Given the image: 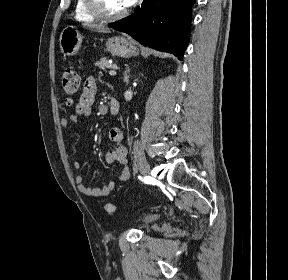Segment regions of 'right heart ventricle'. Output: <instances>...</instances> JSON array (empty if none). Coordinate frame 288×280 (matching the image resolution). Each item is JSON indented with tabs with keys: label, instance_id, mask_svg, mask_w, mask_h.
Segmentation results:
<instances>
[{
	"label": "right heart ventricle",
	"instance_id": "1",
	"mask_svg": "<svg viewBox=\"0 0 288 280\" xmlns=\"http://www.w3.org/2000/svg\"><path fill=\"white\" fill-rule=\"evenodd\" d=\"M74 16L76 20L81 22H95L97 20L87 9L85 0H76L74 6Z\"/></svg>",
	"mask_w": 288,
	"mask_h": 280
}]
</instances>
